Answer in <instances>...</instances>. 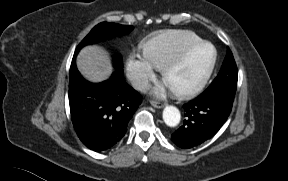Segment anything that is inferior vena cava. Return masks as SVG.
Wrapping results in <instances>:
<instances>
[{
    "mask_svg": "<svg viewBox=\"0 0 288 181\" xmlns=\"http://www.w3.org/2000/svg\"><path fill=\"white\" fill-rule=\"evenodd\" d=\"M132 86L142 92H147L150 88V84L146 78H136L132 82Z\"/></svg>",
    "mask_w": 288,
    "mask_h": 181,
    "instance_id": "1",
    "label": "inferior vena cava"
}]
</instances>
